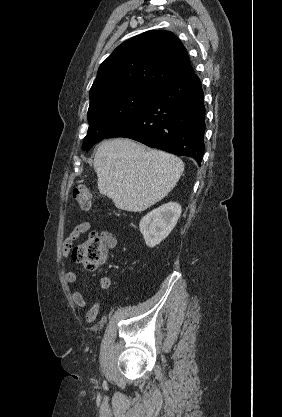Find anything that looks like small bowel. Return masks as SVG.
Returning <instances> with one entry per match:
<instances>
[{
	"label": "small bowel",
	"mask_w": 282,
	"mask_h": 417,
	"mask_svg": "<svg viewBox=\"0 0 282 417\" xmlns=\"http://www.w3.org/2000/svg\"><path fill=\"white\" fill-rule=\"evenodd\" d=\"M92 227V223L90 221H84L81 222L79 224H77L73 230L71 231V233L69 234V236L65 239L63 246H62V256L63 257H67L70 253V250L73 246V243L84 233H86L87 231H89ZM101 238L106 242V244L109 247H114L116 244V238L115 236L110 233L109 231H102L100 234ZM65 279L67 282L69 283H74L77 279V274L75 271L73 270H67L65 272ZM111 286V280L109 277L107 276H102L99 279V283H98V288L101 291H106L110 288ZM72 300L74 302V304L78 307H84L86 305V301L84 296L78 292L75 291L72 293ZM99 309H100V301L96 300L94 302V304L88 309V311L86 312L85 315V319L88 323H92L93 321H95V319L98 316L99 313Z\"/></svg>",
	"instance_id": "obj_1"
}]
</instances>
